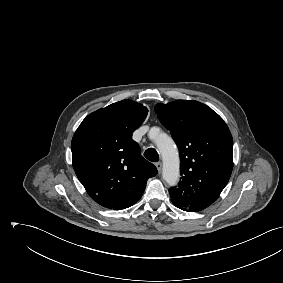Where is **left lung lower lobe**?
<instances>
[{
  "label": "left lung lower lobe",
  "mask_w": 283,
  "mask_h": 283,
  "mask_svg": "<svg viewBox=\"0 0 283 283\" xmlns=\"http://www.w3.org/2000/svg\"><path fill=\"white\" fill-rule=\"evenodd\" d=\"M173 204H174L176 207H178V208H180V209H182V210H184V211H188L187 209L178 206V205H177L176 203H174V202H173Z\"/></svg>",
  "instance_id": "left-lung-lower-lobe-1"
}]
</instances>
